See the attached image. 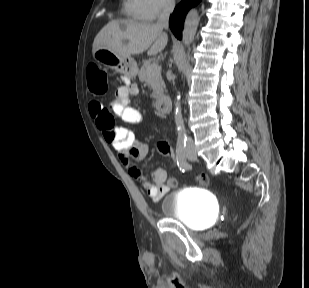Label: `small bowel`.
<instances>
[{
    "instance_id": "1",
    "label": "small bowel",
    "mask_w": 309,
    "mask_h": 288,
    "mask_svg": "<svg viewBox=\"0 0 309 288\" xmlns=\"http://www.w3.org/2000/svg\"><path fill=\"white\" fill-rule=\"evenodd\" d=\"M137 93L136 84H124L117 88L115 99L109 108L98 101H91L89 110L104 141L119 154L120 161L129 175L141 185L152 201H159L173 187L166 181V172L161 168L154 169V181H149L135 164L136 161L146 158L147 144L138 140L131 130L114 126L113 114L130 124L140 123L143 120L142 114L129 105L130 98ZM157 149L162 156L173 161L176 159L174 150L168 142H160Z\"/></svg>"
}]
</instances>
